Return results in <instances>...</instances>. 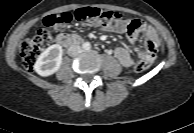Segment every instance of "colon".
Wrapping results in <instances>:
<instances>
[{
    "mask_svg": "<svg viewBox=\"0 0 194 133\" xmlns=\"http://www.w3.org/2000/svg\"><path fill=\"white\" fill-rule=\"evenodd\" d=\"M72 20H76L82 26L97 25L102 27H113L123 22L122 15L118 12L90 6L78 8L73 14L65 12L48 16L43 20L44 28L21 44L20 56L24 67L32 68L50 41L52 34L65 27ZM154 58L151 54L142 56L134 66L133 72L140 73L147 70L153 64Z\"/></svg>",
    "mask_w": 194,
    "mask_h": 133,
    "instance_id": "obj_1",
    "label": "colon"
}]
</instances>
